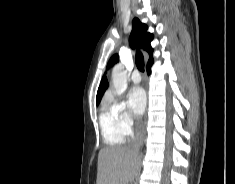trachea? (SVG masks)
<instances>
[{
    "instance_id": "3493384b",
    "label": "trachea",
    "mask_w": 235,
    "mask_h": 184,
    "mask_svg": "<svg viewBox=\"0 0 235 184\" xmlns=\"http://www.w3.org/2000/svg\"><path fill=\"white\" fill-rule=\"evenodd\" d=\"M136 65L138 69L143 72L144 71V58L140 51H137L135 58Z\"/></svg>"
}]
</instances>
